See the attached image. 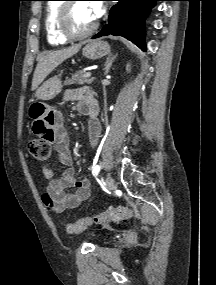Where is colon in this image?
I'll return each mask as SVG.
<instances>
[{"instance_id":"obj_1","label":"colon","mask_w":216,"mask_h":285,"mask_svg":"<svg viewBox=\"0 0 216 285\" xmlns=\"http://www.w3.org/2000/svg\"><path fill=\"white\" fill-rule=\"evenodd\" d=\"M29 153L40 161H46L51 156V144L49 141H41V136L32 138L28 142ZM133 217V211L128 205H121L107 209L99 214L77 219L72 223H67L65 228L67 233L76 234L83 232L92 224H105L108 222L129 221Z\"/></svg>"}]
</instances>
